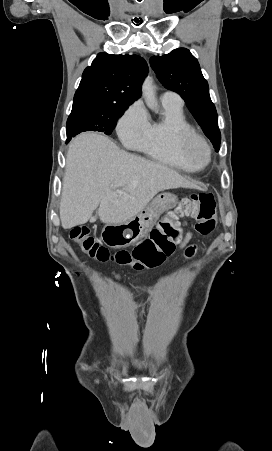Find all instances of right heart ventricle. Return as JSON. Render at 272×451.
<instances>
[{"mask_svg":"<svg viewBox=\"0 0 272 451\" xmlns=\"http://www.w3.org/2000/svg\"><path fill=\"white\" fill-rule=\"evenodd\" d=\"M163 107L165 118L160 122L149 124L145 137L135 146L154 160L190 173L181 160L179 145L173 140L172 132L175 129L190 131L192 129L186 122L182 109L168 104H163Z\"/></svg>","mask_w":272,"mask_h":451,"instance_id":"obj_1","label":"right heart ventricle"}]
</instances>
